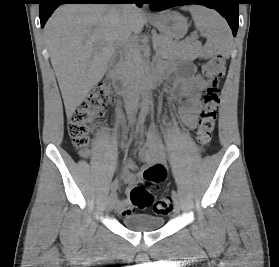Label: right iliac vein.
Returning a JSON list of instances; mask_svg holds the SVG:
<instances>
[{
  "mask_svg": "<svg viewBox=\"0 0 279 267\" xmlns=\"http://www.w3.org/2000/svg\"><path fill=\"white\" fill-rule=\"evenodd\" d=\"M115 203H116V194L112 193L108 199V210L109 211L113 210Z\"/></svg>",
  "mask_w": 279,
  "mask_h": 267,
  "instance_id": "right-iliac-vein-1",
  "label": "right iliac vein"
}]
</instances>
